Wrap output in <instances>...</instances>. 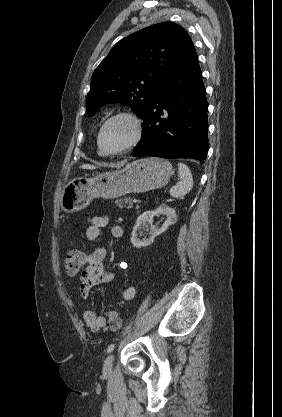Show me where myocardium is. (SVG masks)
I'll use <instances>...</instances> for the list:
<instances>
[{"instance_id": "obj_1", "label": "myocardium", "mask_w": 282, "mask_h": 417, "mask_svg": "<svg viewBox=\"0 0 282 417\" xmlns=\"http://www.w3.org/2000/svg\"><path fill=\"white\" fill-rule=\"evenodd\" d=\"M116 123H125L130 130V135L125 142H123L116 148L106 149L103 145L104 136L107 130ZM141 135L142 129L140 120L133 114L121 112L113 115L104 123V125L100 129L97 144L100 152L103 155H113L135 145L140 140Z\"/></svg>"}]
</instances>
